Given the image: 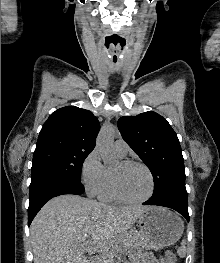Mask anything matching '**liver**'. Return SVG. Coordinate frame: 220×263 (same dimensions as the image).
<instances>
[{"mask_svg":"<svg viewBox=\"0 0 220 263\" xmlns=\"http://www.w3.org/2000/svg\"><path fill=\"white\" fill-rule=\"evenodd\" d=\"M149 208L114 207L72 194L55 197L30 227L34 263H90L87 244L94 243L102 256Z\"/></svg>","mask_w":220,"mask_h":263,"instance_id":"6515ba94","label":"liver"}]
</instances>
